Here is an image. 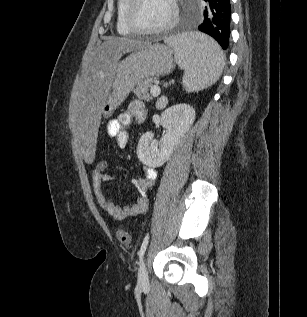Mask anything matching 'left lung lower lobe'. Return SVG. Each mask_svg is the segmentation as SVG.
I'll use <instances>...</instances> for the list:
<instances>
[{
  "label": "left lung lower lobe",
  "mask_w": 307,
  "mask_h": 317,
  "mask_svg": "<svg viewBox=\"0 0 307 317\" xmlns=\"http://www.w3.org/2000/svg\"><path fill=\"white\" fill-rule=\"evenodd\" d=\"M207 3L198 29L213 37L223 49L229 45L230 0H204Z\"/></svg>",
  "instance_id": "0a47b994"
}]
</instances>
